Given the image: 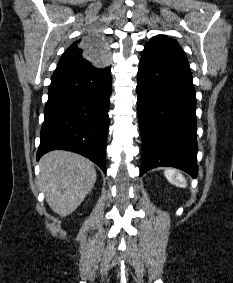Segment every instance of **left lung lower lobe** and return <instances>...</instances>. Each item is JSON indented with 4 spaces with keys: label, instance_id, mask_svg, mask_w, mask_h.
<instances>
[{
    "label": "left lung lower lobe",
    "instance_id": "left-lung-lower-lobe-1",
    "mask_svg": "<svg viewBox=\"0 0 233 283\" xmlns=\"http://www.w3.org/2000/svg\"><path fill=\"white\" fill-rule=\"evenodd\" d=\"M137 93L142 136L140 175L158 166H172L195 178L196 93L182 49L145 46Z\"/></svg>",
    "mask_w": 233,
    "mask_h": 283
}]
</instances>
